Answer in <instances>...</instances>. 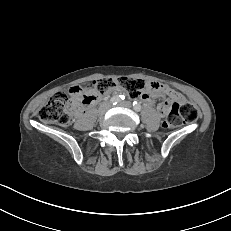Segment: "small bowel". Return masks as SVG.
I'll return each instance as SVG.
<instances>
[{"mask_svg": "<svg viewBox=\"0 0 231 231\" xmlns=\"http://www.w3.org/2000/svg\"><path fill=\"white\" fill-rule=\"evenodd\" d=\"M147 85L149 87V91L143 93L141 96V99L149 105L153 104V99H152L153 96H159V95H166L169 97V99L171 101H175V102H179V103H182L184 101V97L180 93H178V92H176V91H174V90H172L166 86H162V85H159L156 83H148ZM75 87H78V91L74 92L73 98H74L75 102L77 103L76 109H77V111H79L80 106L85 104L84 103V97L86 95V91L84 88L79 87V86L71 87L70 90H74ZM120 91H121L120 88H114L113 89V92H120ZM98 99H100V95H95L93 98V101L90 104H92L93 102H95ZM90 104H87V105H90ZM166 106H167V103L159 104L158 110L160 111L161 114H164Z\"/></svg>", "mask_w": 231, "mask_h": 231, "instance_id": "obj_1", "label": "small bowel"}]
</instances>
